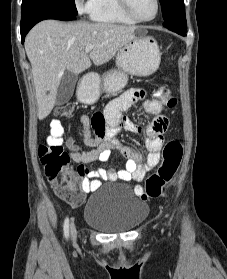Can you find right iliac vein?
Here are the masks:
<instances>
[{
	"label": "right iliac vein",
	"instance_id": "right-iliac-vein-1",
	"mask_svg": "<svg viewBox=\"0 0 227 279\" xmlns=\"http://www.w3.org/2000/svg\"><path fill=\"white\" fill-rule=\"evenodd\" d=\"M71 235H72L73 239H75L76 236H77V232H76V228H75L74 223L71 224Z\"/></svg>",
	"mask_w": 227,
	"mask_h": 279
}]
</instances>
